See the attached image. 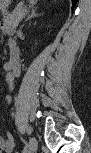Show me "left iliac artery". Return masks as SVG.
Instances as JSON below:
<instances>
[{
	"label": "left iliac artery",
	"mask_w": 91,
	"mask_h": 153,
	"mask_svg": "<svg viewBox=\"0 0 91 153\" xmlns=\"http://www.w3.org/2000/svg\"><path fill=\"white\" fill-rule=\"evenodd\" d=\"M22 143H24V151H22V153H28V151L25 150L30 149V143H28V140H22Z\"/></svg>",
	"instance_id": "44dca946"
}]
</instances>
